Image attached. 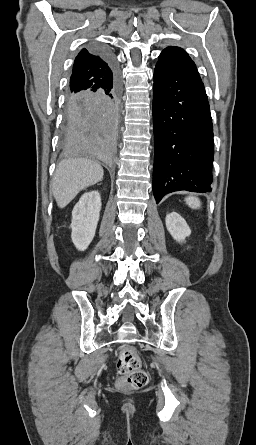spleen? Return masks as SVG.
I'll use <instances>...</instances> for the list:
<instances>
[{
	"instance_id": "spleen-1",
	"label": "spleen",
	"mask_w": 256,
	"mask_h": 445,
	"mask_svg": "<svg viewBox=\"0 0 256 445\" xmlns=\"http://www.w3.org/2000/svg\"><path fill=\"white\" fill-rule=\"evenodd\" d=\"M186 203L188 204L189 207L193 208V209H198L201 206L200 200L196 197L193 196H189L185 199Z\"/></svg>"
}]
</instances>
